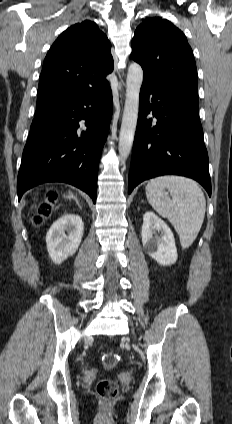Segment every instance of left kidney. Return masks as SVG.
I'll return each mask as SVG.
<instances>
[{
  "label": "left kidney",
  "instance_id": "1",
  "mask_svg": "<svg viewBox=\"0 0 232 424\" xmlns=\"http://www.w3.org/2000/svg\"><path fill=\"white\" fill-rule=\"evenodd\" d=\"M160 232V236H156ZM142 244L149 256L160 265L167 266L177 261L178 255L174 235L168 225L153 212L143 216Z\"/></svg>",
  "mask_w": 232,
  "mask_h": 424
}]
</instances>
